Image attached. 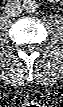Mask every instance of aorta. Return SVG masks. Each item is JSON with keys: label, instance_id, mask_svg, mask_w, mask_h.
I'll return each instance as SVG.
<instances>
[{"label": "aorta", "instance_id": "obj_1", "mask_svg": "<svg viewBox=\"0 0 63 107\" xmlns=\"http://www.w3.org/2000/svg\"><path fill=\"white\" fill-rule=\"evenodd\" d=\"M38 8L37 2L35 0H24L23 10L27 13L35 12Z\"/></svg>", "mask_w": 63, "mask_h": 107}]
</instances>
